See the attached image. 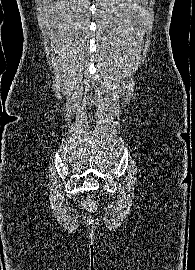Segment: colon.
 Wrapping results in <instances>:
<instances>
[{"mask_svg":"<svg viewBox=\"0 0 195 270\" xmlns=\"http://www.w3.org/2000/svg\"><path fill=\"white\" fill-rule=\"evenodd\" d=\"M83 205L90 211H94L96 209V204L90 200L84 201Z\"/></svg>","mask_w":195,"mask_h":270,"instance_id":"5ec220e1","label":"colon"}]
</instances>
